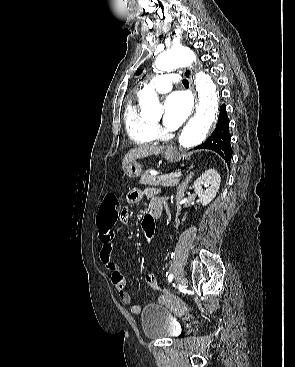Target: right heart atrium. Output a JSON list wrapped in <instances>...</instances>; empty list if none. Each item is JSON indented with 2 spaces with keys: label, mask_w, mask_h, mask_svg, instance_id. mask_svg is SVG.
Listing matches in <instances>:
<instances>
[{
  "label": "right heart atrium",
  "mask_w": 295,
  "mask_h": 367,
  "mask_svg": "<svg viewBox=\"0 0 295 367\" xmlns=\"http://www.w3.org/2000/svg\"><path fill=\"white\" fill-rule=\"evenodd\" d=\"M155 129H156V132H157L158 135H160L162 133V131L159 127H155Z\"/></svg>",
  "instance_id": "right-heart-atrium-1"
}]
</instances>
